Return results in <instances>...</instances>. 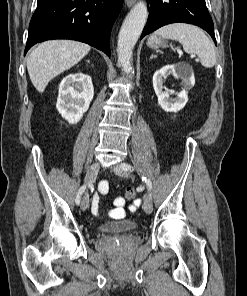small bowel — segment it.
<instances>
[{"label":"small bowel","mask_w":247,"mask_h":296,"mask_svg":"<svg viewBox=\"0 0 247 296\" xmlns=\"http://www.w3.org/2000/svg\"><path fill=\"white\" fill-rule=\"evenodd\" d=\"M109 191V184L107 181H102L99 184L98 187V191L93 195L92 198V203H91V210L95 215H99L100 214V208H99V201H100V195L106 194ZM120 199L122 200V197H117L114 200V205L116 206L111 212L110 215L114 218V213L117 211H122L123 212V208L122 206L124 205V203H122L121 205L116 204V200ZM140 200H135L134 203L132 204L131 208L135 209L140 205Z\"/></svg>","instance_id":"1"}]
</instances>
